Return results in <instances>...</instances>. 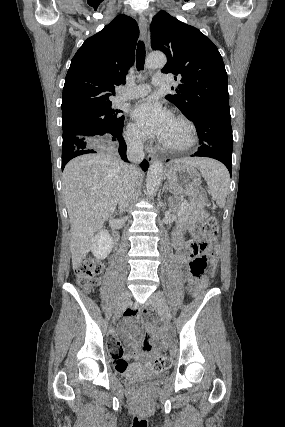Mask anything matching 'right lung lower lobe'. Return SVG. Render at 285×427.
Instances as JSON below:
<instances>
[{"label":"right lung lower lobe","mask_w":285,"mask_h":427,"mask_svg":"<svg viewBox=\"0 0 285 427\" xmlns=\"http://www.w3.org/2000/svg\"><path fill=\"white\" fill-rule=\"evenodd\" d=\"M76 144L73 146H67L65 148H63V152H62V170L64 169L65 165L67 164L68 161H70L72 158L82 155V154H86V153H96L98 149H100L102 147L101 144H95V143H90V139H88L85 136H76L74 137ZM115 144L116 146L119 147V154L121 156V158L128 162L127 157H126V144L125 141L122 137V131L121 133L116 136L115 138ZM142 169L144 171H146L148 169V162L146 160H144L141 165Z\"/></svg>","instance_id":"obj_1"}]
</instances>
